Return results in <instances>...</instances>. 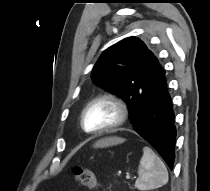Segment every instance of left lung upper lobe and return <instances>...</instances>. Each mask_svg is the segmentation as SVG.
<instances>
[{
	"label": "left lung upper lobe",
	"instance_id": "obj_1",
	"mask_svg": "<svg viewBox=\"0 0 210 191\" xmlns=\"http://www.w3.org/2000/svg\"><path fill=\"white\" fill-rule=\"evenodd\" d=\"M161 68L156 54L142 40L128 37L102 53L93 67L92 79L125 100L133 122L140 102L157 84L156 74Z\"/></svg>",
	"mask_w": 210,
	"mask_h": 191
}]
</instances>
